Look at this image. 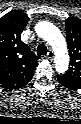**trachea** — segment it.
Wrapping results in <instances>:
<instances>
[{"instance_id": "3493384b", "label": "trachea", "mask_w": 81, "mask_h": 124, "mask_svg": "<svg viewBox=\"0 0 81 124\" xmlns=\"http://www.w3.org/2000/svg\"><path fill=\"white\" fill-rule=\"evenodd\" d=\"M48 52L47 47L45 46V44H40L37 47V55H46Z\"/></svg>"}]
</instances>
